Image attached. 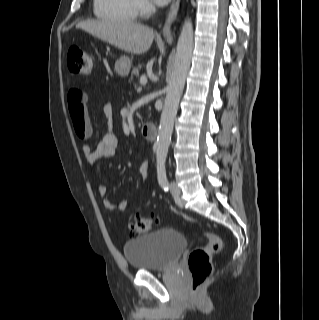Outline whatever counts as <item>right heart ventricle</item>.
I'll return each instance as SVG.
<instances>
[{
	"label": "right heart ventricle",
	"mask_w": 319,
	"mask_h": 320,
	"mask_svg": "<svg viewBox=\"0 0 319 320\" xmlns=\"http://www.w3.org/2000/svg\"><path fill=\"white\" fill-rule=\"evenodd\" d=\"M94 14L102 20L132 23L137 16L135 0H94Z\"/></svg>",
	"instance_id": "e07e8e85"
}]
</instances>
